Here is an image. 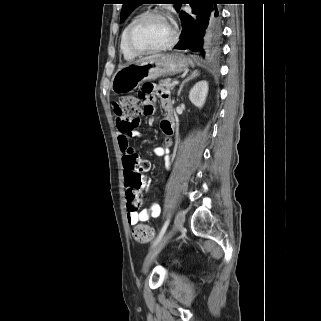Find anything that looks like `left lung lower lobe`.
<instances>
[{
  "label": "left lung lower lobe",
  "instance_id": "0a47b994",
  "mask_svg": "<svg viewBox=\"0 0 321 321\" xmlns=\"http://www.w3.org/2000/svg\"><path fill=\"white\" fill-rule=\"evenodd\" d=\"M193 15L180 11L182 22L180 41L174 47L191 50L202 57L215 52L221 38V0H191Z\"/></svg>",
  "mask_w": 321,
  "mask_h": 321
}]
</instances>
